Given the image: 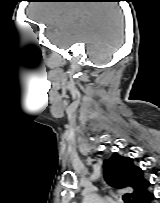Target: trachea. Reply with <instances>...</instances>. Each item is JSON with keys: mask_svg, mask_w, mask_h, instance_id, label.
Returning a JSON list of instances; mask_svg holds the SVG:
<instances>
[{"mask_svg": "<svg viewBox=\"0 0 160 203\" xmlns=\"http://www.w3.org/2000/svg\"><path fill=\"white\" fill-rule=\"evenodd\" d=\"M123 200L125 203H131V199H130V196L128 194H125L123 196Z\"/></svg>", "mask_w": 160, "mask_h": 203, "instance_id": "1", "label": "trachea"}]
</instances>
